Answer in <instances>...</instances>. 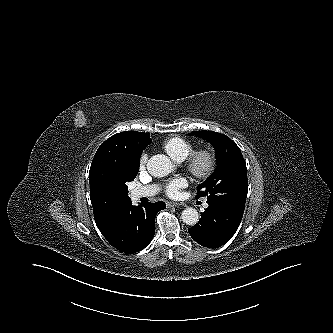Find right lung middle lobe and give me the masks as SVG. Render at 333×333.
Wrapping results in <instances>:
<instances>
[{
    "mask_svg": "<svg viewBox=\"0 0 333 333\" xmlns=\"http://www.w3.org/2000/svg\"><path fill=\"white\" fill-rule=\"evenodd\" d=\"M137 172H138V169H136L132 174H130V176L127 178L126 182L133 181L135 176L137 175Z\"/></svg>",
    "mask_w": 333,
    "mask_h": 333,
    "instance_id": "right-lung-middle-lobe-1",
    "label": "right lung middle lobe"
}]
</instances>
